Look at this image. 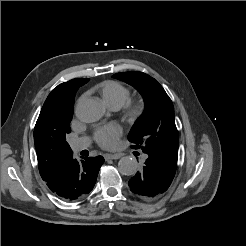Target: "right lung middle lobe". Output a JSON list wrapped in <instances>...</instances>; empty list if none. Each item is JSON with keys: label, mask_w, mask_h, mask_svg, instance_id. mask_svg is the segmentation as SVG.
<instances>
[{"label": "right lung middle lobe", "mask_w": 246, "mask_h": 246, "mask_svg": "<svg viewBox=\"0 0 246 246\" xmlns=\"http://www.w3.org/2000/svg\"><path fill=\"white\" fill-rule=\"evenodd\" d=\"M70 121L71 119L65 124V129L67 130L68 133L71 131V129L69 128Z\"/></svg>", "instance_id": "1"}]
</instances>
